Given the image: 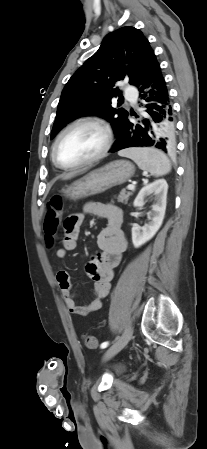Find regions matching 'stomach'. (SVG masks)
<instances>
[{"mask_svg": "<svg viewBox=\"0 0 207 449\" xmlns=\"http://www.w3.org/2000/svg\"><path fill=\"white\" fill-rule=\"evenodd\" d=\"M135 173L134 165L126 160H116L95 169L63 189L64 196L70 200H80L100 194L125 183Z\"/></svg>", "mask_w": 207, "mask_h": 449, "instance_id": "obj_1", "label": "stomach"}]
</instances>
